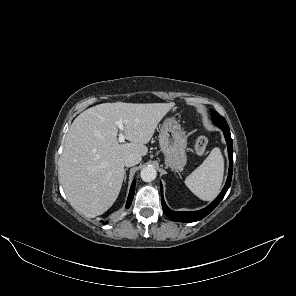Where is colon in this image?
Listing matches in <instances>:
<instances>
[{"label":"colon","instance_id":"colon-1","mask_svg":"<svg viewBox=\"0 0 296 296\" xmlns=\"http://www.w3.org/2000/svg\"><path fill=\"white\" fill-rule=\"evenodd\" d=\"M208 141L204 136H200L195 142V151L197 154L202 155L207 148Z\"/></svg>","mask_w":296,"mask_h":296}]
</instances>
